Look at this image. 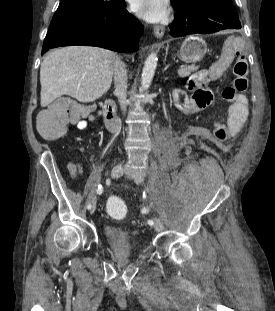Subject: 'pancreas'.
<instances>
[{"label": "pancreas", "mask_w": 275, "mask_h": 311, "mask_svg": "<svg viewBox=\"0 0 275 311\" xmlns=\"http://www.w3.org/2000/svg\"><path fill=\"white\" fill-rule=\"evenodd\" d=\"M198 69V66L192 65V66H184L180 69L179 75L181 77H185L191 74V72L196 71Z\"/></svg>", "instance_id": "pancreas-1"}]
</instances>
